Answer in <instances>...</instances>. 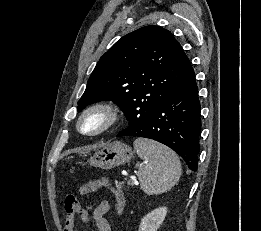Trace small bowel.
Segmentation results:
<instances>
[{"mask_svg":"<svg viewBox=\"0 0 261 231\" xmlns=\"http://www.w3.org/2000/svg\"><path fill=\"white\" fill-rule=\"evenodd\" d=\"M96 183V189L101 187H109V180L106 177H101L94 181ZM81 194H84L85 191L82 188L80 190ZM117 197L120 198L122 203L124 202V197L120 193H116ZM110 209L109 203L107 201H101L97 204H90L85 209H83L82 219L87 221L90 218V214H92V218L97 231H112L109 222L107 221L105 215L108 213ZM63 231H75V223L74 220L68 222L65 221L64 230Z\"/></svg>","mask_w":261,"mask_h":231,"instance_id":"1","label":"small bowel"}]
</instances>
